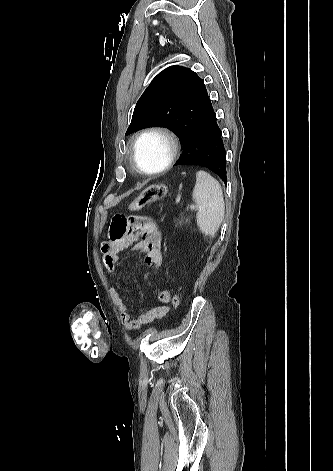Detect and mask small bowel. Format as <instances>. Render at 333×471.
I'll return each instance as SVG.
<instances>
[{
    "instance_id": "obj_1",
    "label": "small bowel",
    "mask_w": 333,
    "mask_h": 471,
    "mask_svg": "<svg viewBox=\"0 0 333 471\" xmlns=\"http://www.w3.org/2000/svg\"><path fill=\"white\" fill-rule=\"evenodd\" d=\"M128 249L143 252L145 264L151 268H159L163 263V254L162 232L157 224L145 216H126L122 213L113 215L109 237L101 245L103 262L107 271L116 270L120 254ZM122 285V274L119 273L111 285L110 298L120 311L122 323L127 330H138L168 314L171 293L168 290H160L156 295L158 305L136 318L132 317L121 296Z\"/></svg>"
}]
</instances>
